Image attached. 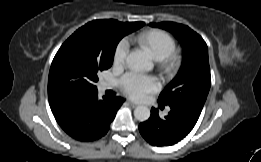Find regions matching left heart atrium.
<instances>
[{
    "instance_id": "obj_1",
    "label": "left heart atrium",
    "mask_w": 261,
    "mask_h": 162,
    "mask_svg": "<svg viewBox=\"0 0 261 162\" xmlns=\"http://www.w3.org/2000/svg\"><path fill=\"white\" fill-rule=\"evenodd\" d=\"M121 86L129 97L138 100L146 94L158 90L160 83L153 76L129 73L121 79Z\"/></svg>"
}]
</instances>
